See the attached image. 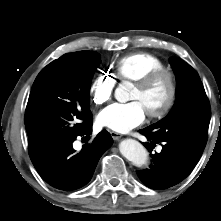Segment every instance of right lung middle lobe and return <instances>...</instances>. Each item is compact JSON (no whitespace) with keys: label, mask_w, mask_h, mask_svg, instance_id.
Segmentation results:
<instances>
[{"label":"right lung middle lobe","mask_w":221,"mask_h":221,"mask_svg":"<svg viewBox=\"0 0 221 221\" xmlns=\"http://www.w3.org/2000/svg\"><path fill=\"white\" fill-rule=\"evenodd\" d=\"M99 54L81 51L47 65L32 86L25 112L29 144L77 137L92 119L90 85Z\"/></svg>","instance_id":"obj_1"}]
</instances>
